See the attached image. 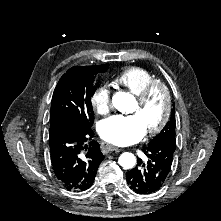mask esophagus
<instances>
[{"instance_id":"1","label":"esophagus","mask_w":221,"mask_h":221,"mask_svg":"<svg viewBox=\"0 0 221 221\" xmlns=\"http://www.w3.org/2000/svg\"><path fill=\"white\" fill-rule=\"evenodd\" d=\"M120 150H121V149H120L119 147H116V146H114V145L107 144V143L102 144V146H101V151H102L103 153H108V152H111V151H117V152H119Z\"/></svg>"}]
</instances>
